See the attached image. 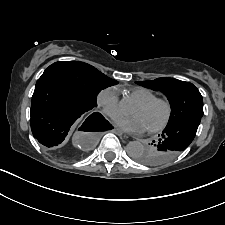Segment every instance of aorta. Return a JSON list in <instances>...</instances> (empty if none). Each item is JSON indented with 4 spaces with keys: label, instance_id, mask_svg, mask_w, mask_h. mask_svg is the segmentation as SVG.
Returning a JSON list of instances; mask_svg holds the SVG:
<instances>
[{
    "label": "aorta",
    "instance_id": "762f6f07",
    "mask_svg": "<svg viewBox=\"0 0 225 225\" xmlns=\"http://www.w3.org/2000/svg\"><path fill=\"white\" fill-rule=\"evenodd\" d=\"M144 150V145L139 141H131L126 146V152L131 158H136Z\"/></svg>",
    "mask_w": 225,
    "mask_h": 225
}]
</instances>
